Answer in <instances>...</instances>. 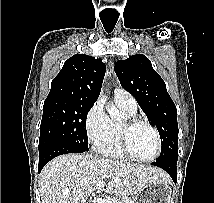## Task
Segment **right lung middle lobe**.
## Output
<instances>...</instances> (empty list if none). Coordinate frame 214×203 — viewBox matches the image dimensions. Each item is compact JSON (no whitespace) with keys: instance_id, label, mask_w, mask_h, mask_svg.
<instances>
[{"instance_id":"dd1d6c3e","label":"right lung middle lobe","mask_w":214,"mask_h":203,"mask_svg":"<svg viewBox=\"0 0 214 203\" xmlns=\"http://www.w3.org/2000/svg\"><path fill=\"white\" fill-rule=\"evenodd\" d=\"M93 102L45 100L40 125L39 152L66 145L88 151L86 118Z\"/></svg>"}]
</instances>
